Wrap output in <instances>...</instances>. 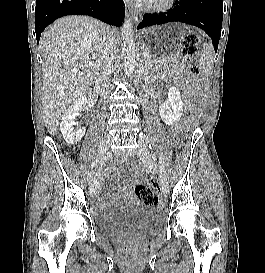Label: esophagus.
Instances as JSON below:
<instances>
[{"label":"esophagus","instance_id":"obj_1","mask_svg":"<svg viewBox=\"0 0 265 273\" xmlns=\"http://www.w3.org/2000/svg\"><path fill=\"white\" fill-rule=\"evenodd\" d=\"M129 13H135V9L133 7L129 8ZM138 18L136 17V22H138Z\"/></svg>","mask_w":265,"mask_h":273}]
</instances>
